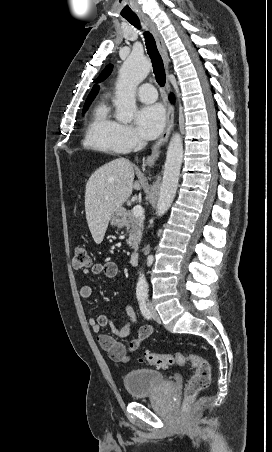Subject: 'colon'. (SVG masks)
<instances>
[{"instance_id":"obj_1","label":"colon","mask_w":272,"mask_h":452,"mask_svg":"<svg viewBox=\"0 0 272 452\" xmlns=\"http://www.w3.org/2000/svg\"><path fill=\"white\" fill-rule=\"evenodd\" d=\"M72 264L75 269H83L91 265V259L88 254L86 246L78 245L75 248ZM136 349L137 343L134 341L130 342L129 350L134 351ZM112 354L113 357L116 359L119 358L123 359L125 357V354L122 355V349L120 347H116ZM141 361L160 368H167L172 365L178 366H184L186 364L191 365L195 369V372L190 378L188 385L185 389L184 392L185 402L193 400L200 391L208 387L211 380V366L209 362L202 356L194 353H175V354L145 353Z\"/></svg>"}]
</instances>
